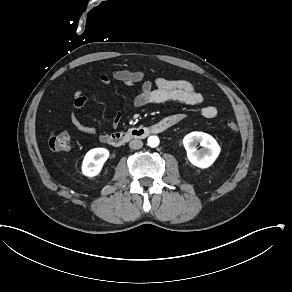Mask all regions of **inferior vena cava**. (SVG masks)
Here are the masks:
<instances>
[{
	"instance_id": "obj_1",
	"label": "inferior vena cava",
	"mask_w": 292,
	"mask_h": 292,
	"mask_svg": "<svg viewBox=\"0 0 292 292\" xmlns=\"http://www.w3.org/2000/svg\"><path fill=\"white\" fill-rule=\"evenodd\" d=\"M143 146V142L139 139L131 140L129 142V147L131 149H140Z\"/></svg>"
}]
</instances>
